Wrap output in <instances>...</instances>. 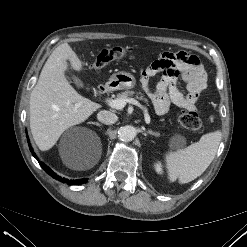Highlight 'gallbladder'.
<instances>
[{
    "label": "gallbladder",
    "mask_w": 247,
    "mask_h": 247,
    "mask_svg": "<svg viewBox=\"0 0 247 247\" xmlns=\"http://www.w3.org/2000/svg\"><path fill=\"white\" fill-rule=\"evenodd\" d=\"M67 72L71 75V77H72L74 80H76L75 76L72 75V73H70L69 68L67 69ZM77 84H81V83H80V82H77Z\"/></svg>",
    "instance_id": "bac80fb5"
}]
</instances>
